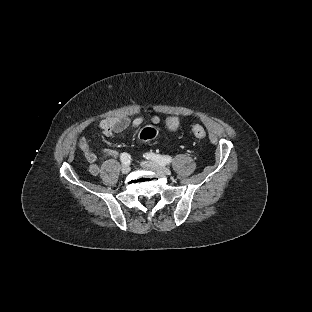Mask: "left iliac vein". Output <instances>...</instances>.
<instances>
[{"label": "left iliac vein", "instance_id": "obj_1", "mask_svg": "<svg viewBox=\"0 0 312 312\" xmlns=\"http://www.w3.org/2000/svg\"><path fill=\"white\" fill-rule=\"evenodd\" d=\"M141 166L146 168V169H150V170H153L157 173H161L164 175H170L171 174V170L169 168L165 167L164 165L154 163L152 161H144L141 163Z\"/></svg>", "mask_w": 312, "mask_h": 312}]
</instances>
